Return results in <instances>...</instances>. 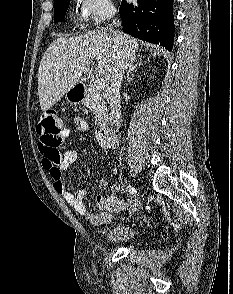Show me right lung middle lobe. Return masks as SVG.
I'll return each mask as SVG.
<instances>
[{
	"mask_svg": "<svg viewBox=\"0 0 233 294\" xmlns=\"http://www.w3.org/2000/svg\"><path fill=\"white\" fill-rule=\"evenodd\" d=\"M70 0H54V23L62 21L67 9L69 7Z\"/></svg>",
	"mask_w": 233,
	"mask_h": 294,
	"instance_id": "dd1d6c3e",
	"label": "right lung middle lobe"
}]
</instances>
